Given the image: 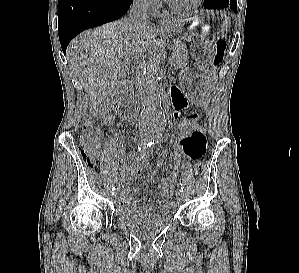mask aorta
Instances as JSON below:
<instances>
[{
    "mask_svg": "<svg viewBox=\"0 0 299 273\" xmlns=\"http://www.w3.org/2000/svg\"><path fill=\"white\" fill-rule=\"evenodd\" d=\"M160 73L157 59L153 58L141 77L143 109L139 126L142 140L146 142L160 138L165 129L166 120L159 91Z\"/></svg>",
    "mask_w": 299,
    "mask_h": 273,
    "instance_id": "762f6f07",
    "label": "aorta"
}]
</instances>
